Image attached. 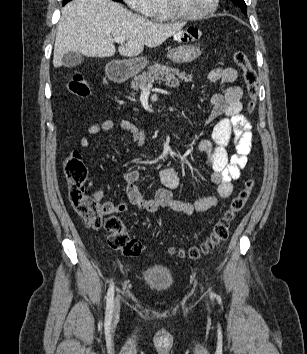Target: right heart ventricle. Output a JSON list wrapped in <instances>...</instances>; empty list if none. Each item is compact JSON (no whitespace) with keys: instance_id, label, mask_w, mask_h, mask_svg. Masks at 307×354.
<instances>
[{"instance_id":"obj_1","label":"right heart ventricle","mask_w":307,"mask_h":354,"mask_svg":"<svg viewBox=\"0 0 307 354\" xmlns=\"http://www.w3.org/2000/svg\"><path fill=\"white\" fill-rule=\"evenodd\" d=\"M155 21L165 22L170 20V15L166 11L163 0H157L156 6L150 15Z\"/></svg>"}]
</instances>
